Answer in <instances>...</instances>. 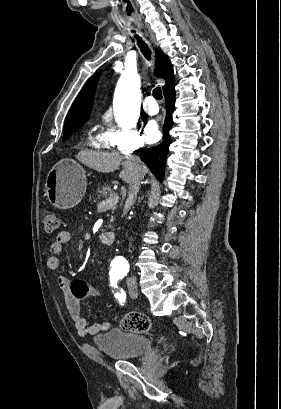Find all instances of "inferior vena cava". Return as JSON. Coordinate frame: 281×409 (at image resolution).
<instances>
[{"label": "inferior vena cava", "mask_w": 281, "mask_h": 409, "mask_svg": "<svg viewBox=\"0 0 281 409\" xmlns=\"http://www.w3.org/2000/svg\"><path fill=\"white\" fill-rule=\"evenodd\" d=\"M134 164V174L129 182V196H135L139 190L142 178H144V162L138 158V156H131ZM127 283H136L135 277H130Z\"/></svg>", "instance_id": "602c4592"}]
</instances>
